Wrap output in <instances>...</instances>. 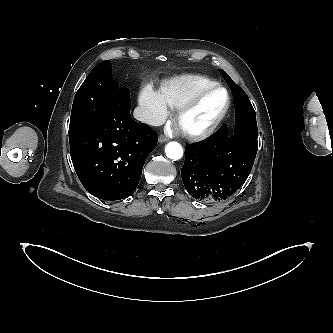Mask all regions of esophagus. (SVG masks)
Returning <instances> with one entry per match:
<instances>
[{"label": "esophagus", "instance_id": "obj_1", "mask_svg": "<svg viewBox=\"0 0 333 333\" xmlns=\"http://www.w3.org/2000/svg\"><path fill=\"white\" fill-rule=\"evenodd\" d=\"M169 139L166 137V136H164V135H161V136H159V138H158V142L159 143H164V142H167Z\"/></svg>", "mask_w": 333, "mask_h": 333}]
</instances>
